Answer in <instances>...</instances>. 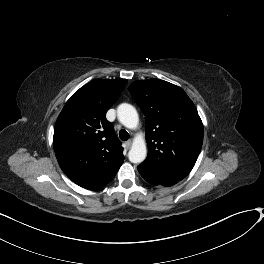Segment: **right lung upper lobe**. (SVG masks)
I'll return each mask as SVG.
<instances>
[{
    "mask_svg": "<svg viewBox=\"0 0 264 264\" xmlns=\"http://www.w3.org/2000/svg\"><path fill=\"white\" fill-rule=\"evenodd\" d=\"M126 79H96L67 101L57 118L53 146L57 161L77 185L96 190L108 184L124 161L123 147L106 112Z\"/></svg>",
    "mask_w": 264,
    "mask_h": 264,
    "instance_id": "1",
    "label": "right lung upper lobe"
}]
</instances>
